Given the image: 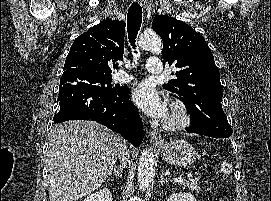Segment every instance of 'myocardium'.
I'll return each instance as SVG.
<instances>
[{
  "instance_id": "myocardium-1",
  "label": "myocardium",
  "mask_w": 271,
  "mask_h": 201,
  "mask_svg": "<svg viewBox=\"0 0 271 201\" xmlns=\"http://www.w3.org/2000/svg\"><path fill=\"white\" fill-rule=\"evenodd\" d=\"M191 122V112L187 105L182 101H175L167 119L164 121V127L168 130H180L186 128Z\"/></svg>"
}]
</instances>
